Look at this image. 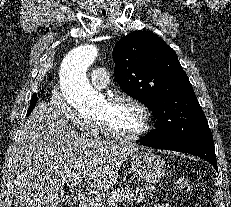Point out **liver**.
I'll return each instance as SVG.
<instances>
[{
	"instance_id": "6515ba94",
	"label": "liver",
	"mask_w": 231,
	"mask_h": 207,
	"mask_svg": "<svg viewBox=\"0 0 231 207\" xmlns=\"http://www.w3.org/2000/svg\"><path fill=\"white\" fill-rule=\"evenodd\" d=\"M134 144L92 140L68 126L58 110L38 102L25 122L13 155L15 207H58L64 202L62 180L85 181L107 190Z\"/></svg>"
}]
</instances>
